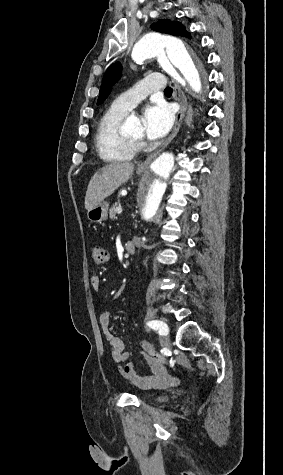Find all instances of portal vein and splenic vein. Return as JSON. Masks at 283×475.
<instances>
[{"instance_id": "portal-vein-and-splenic-vein-1", "label": "portal vein and splenic vein", "mask_w": 283, "mask_h": 475, "mask_svg": "<svg viewBox=\"0 0 283 475\" xmlns=\"http://www.w3.org/2000/svg\"><path fill=\"white\" fill-rule=\"evenodd\" d=\"M123 212L122 208H117V214H121Z\"/></svg>"}]
</instances>
